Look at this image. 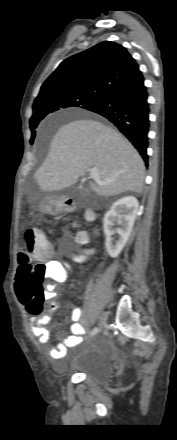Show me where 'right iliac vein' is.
Masks as SVG:
<instances>
[{"label":"right iliac vein","instance_id":"obj_1","mask_svg":"<svg viewBox=\"0 0 177 440\" xmlns=\"http://www.w3.org/2000/svg\"><path fill=\"white\" fill-rule=\"evenodd\" d=\"M107 321V315L106 313H102L101 317H100V322H99V329L102 330L106 324Z\"/></svg>","mask_w":177,"mask_h":440}]
</instances>
